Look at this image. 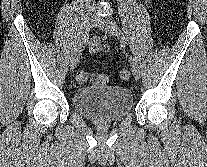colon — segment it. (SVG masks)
<instances>
[{
	"label": "colon",
	"mask_w": 207,
	"mask_h": 167,
	"mask_svg": "<svg viewBox=\"0 0 207 167\" xmlns=\"http://www.w3.org/2000/svg\"><path fill=\"white\" fill-rule=\"evenodd\" d=\"M119 76L122 80H128L130 78V72L127 69H122L119 73ZM76 79L79 83L91 81L97 85H106L110 81L109 76L106 74L89 73L83 70L77 72Z\"/></svg>",
	"instance_id": "obj_1"
}]
</instances>
